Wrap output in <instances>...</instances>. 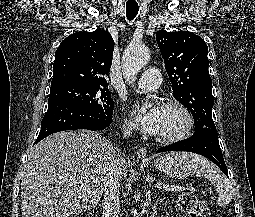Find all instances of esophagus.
I'll return each instance as SVG.
<instances>
[{
    "instance_id": "34e87169",
    "label": "esophagus",
    "mask_w": 255,
    "mask_h": 217,
    "mask_svg": "<svg viewBox=\"0 0 255 217\" xmlns=\"http://www.w3.org/2000/svg\"><path fill=\"white\" fill-rule=\"evenodd\" d=\"M138 158L145 159L147 157V149L146 148H140L137 151Z\"/></svg>"
}]
</instances>
